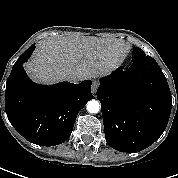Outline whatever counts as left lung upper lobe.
I'll use <instances>...</instances> for the list:
<instances>
[{
  "label": "left lung upper lobe",
  "mask_w": 178,
  "mask_h": 178,
  "mask_svg": "<svg viewBox=\"0 0 178 178\" xmlns=\"http://www.w3.org/2000/svg\"><path fill=\"white\" fill-rule=\"evenodd\" d=\"M150 56H147L141 48L134 47L133 48V53H132V61L140 60V59H145L149 58Z\"/></svg>",
  "instance_id": "1"
}]
</instances>
